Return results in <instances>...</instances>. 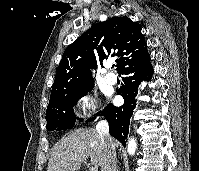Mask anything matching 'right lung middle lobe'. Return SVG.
Segmentation results:
<instances>
[{"mask_svg":"<svg viewBox=\"0 0 199 171\" xmlns=\"http://www.w3.org/2000/svg\"><path fill=\"white\" fill-rule=\"evenodd\" d=\"M94 83L89 84L71 96H68L50 106L46 111L47 130H66L74 126L76 119L73 105L83 96L90 92ZM82 120V119H80Z\"/></svg>","mask_w":199,"mask_h":171,"instance_id":"dd1d6c3e","label":"right lung middle lobe"}]
</instances>
